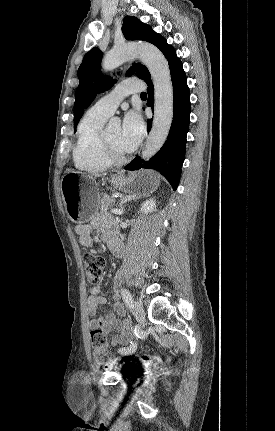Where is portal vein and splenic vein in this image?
I'll return each instance as SVG.
<instances>
[{
  "instance_id": "portal-vein-and-splenic-vein-1",
  "label": "portal vein and splenic vein",
  "mask_w": 275,
  "mask_h": 431,
  "mask_svg": "<svg viewBox=\"0 0 275 431\" xmlns=\"http://www.w3.org/2000/svg\"><path fill=\"white\" fill-rule=\"evenodd\" d=\"M111 212L117 215H120L122 213L120 209H112Z\"/></svg>"
}]
</instances>
